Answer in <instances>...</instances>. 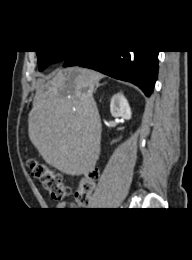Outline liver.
Wrapping results in <instances>:
<instances>
[{
    "label": "liver",
    "mask_w": 192,
    "mask_h": 260,
    "mask_svg": "<svg viewBox=\"0 0 192 260\" xmlns=\"http://www.w3.org/2000/svg\"><path fill=\"white\" fill-rule=\"evenodd\" d=\"M103 78L97 71L68 67L38 79L28 134L46 163L79 176L92 172L100 156L101 121L93 98Z\"/></svg>",
    "instance_id": "6515ba94"
}]
</instances>
